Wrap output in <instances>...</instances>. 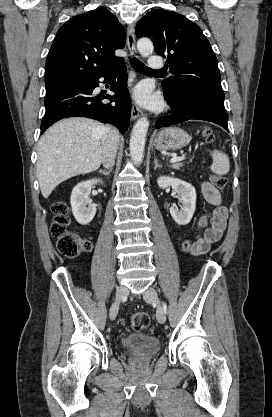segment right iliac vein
<instances>
[{
	"instance_id": "obj_1",
	"label": "right iliac vein",
	"mask_w": 272,
	"mask_h": 417,
	"mask_svg": "<svg viewBox=\"0 0 272 417\" xmlns=\"http://www.w3.org/2000/svg\"><path fill=\"white\" fill-rule=\"evenodd\" d=\"M129 291L128 288L125 286H119L116 290V300L111 305L110 311H109V317L111 320H114L118 314L120 301L123 300L125 297H127Z\"/></svg>"
}]
</instances>
